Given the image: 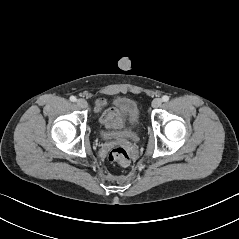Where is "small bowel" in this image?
Segmentation results:
<instances>
[{"label":"small bowel","mask_w":239,"mask_h":239,"mask_svg":"<svg viewBox=\"0 0 239 239\" xmlns=\"http://www.w3.org/2000/svg\"><path fill=\"white\" fill-rule=\"evenodd\" d=\"M106 102L104 99L97 101V109L100 112V121L107 127L118 129L123 125V114L116 108H104Z\"/></svg>","instance_id":"1"}]
</instances>
